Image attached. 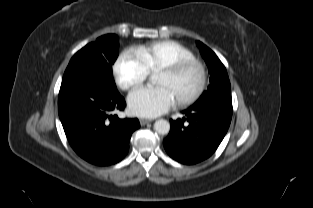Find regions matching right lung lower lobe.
<instances>
[{
	"label": "right lung lower lobe",
	"instance_id": "obj_1",
	"mask_svg": "<svg viewBox=\"0 0 313 208\" xmlns=\"http://www.w3.org/2000/svg\"><path fill=\"white\" fill-rule=\"evenodd\" d=\"M125 100L118 91L83 70L64 75L58 98V113L66 137L84 160L100 166L122 160L138 119L109 115L123 110Z\"/></svg>",
	"mask_w": 313,
	"mask_h": 208
}]
</instances>
